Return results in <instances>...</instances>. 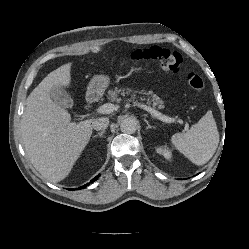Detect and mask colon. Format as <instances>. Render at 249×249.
Returning a JSON list of instances; mask_svg holds the SVG:
<instances>
[{
    "mask_svg": "<svg viewBox=\"0 0 249 249\" xmlns=\"http://www.w3.org/2000/svg\"><path fill=\"white\" fill-rule=\"evenodd\" d=\"M128 60L147 63L172 74L178 73L182 67V57L179 53L158 46L137 49L130 53ZM186 81L194 90L200 91L203 88V80L195 72L188 73Z\"/></svg>",
    "mask_w": 249,
    "mask_h": 249,
    "instance_id": "obj_1",
    "label": "colon"
}]
</instances>
